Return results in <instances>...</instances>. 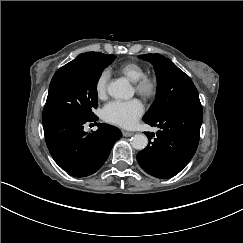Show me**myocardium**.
<instances>
[{
  "mask_svg": "<svg viewBox=\"0 0 243 243\" xmlns=\"http://www.w3.org/2000/svg\"><path fill=\"white\" fill-rule=\"evenodd\" d=\"M160 89V78L154 73H145L137 82H135L136 92L146 99L157 97Z\"/></svg>",
  "mask_w": 243,
  "mask_h": 243,
  "instance_id": "1",
  "label": "myocardium"
}]
</instances>
